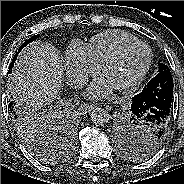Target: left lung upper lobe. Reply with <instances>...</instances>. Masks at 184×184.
I'll use <instances>...</instances> for the list:
<instances>
[{
	"label": "left lung upper lobe",
	"instance_id": "obj_1",
	"mask_svg": "<svg viewBox=\"0 0 184 184\" xmlns=\"http://www.w3.org/2000/svg\"><path fill=\"white\" fill-rule=\"evenodd\" d=\"M165 73L171 74L168 66L160 63L157 75ZM168 129L169 124L166 132H159L158 129L135 119L128 110L118 119L114 127L119 150L127 157L136 160L153 155L164 142Z\"/></svg>",
	"mask_w": 184,
	"mask_h": 184
}]
</instances>
